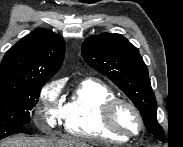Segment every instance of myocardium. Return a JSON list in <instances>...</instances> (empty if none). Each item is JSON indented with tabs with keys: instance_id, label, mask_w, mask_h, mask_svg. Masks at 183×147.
Wrapping results in <instances>:
<instances>
[{
	"instance_id": "obj_1",
	"label": "myocardium",
	"mask_w": 183,
	"mask_h": 147,
	"mask_svg": "<svg viewBox=\"0 0 183 147\" xmlns=\"http://www.w3.org/2000/svg\"><path fill=\"white\" fill-rule=\"evenodd\" d=\"M119 105H125L135 113L139 122V128L136 132H126L116 124L114 115ZM101 117L107 129H109L114 134L119 135L121 137H125L127 139L138 136L144 129V119L140 110L134 103L124 98L114 97L108 100L102 107Z\"/></svg>"
}]
</instances>
